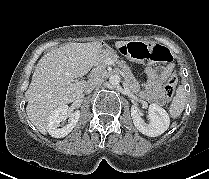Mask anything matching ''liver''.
<instances>
[{
  "label": "liver",
  "mask_w": 209,
  "mask_h": 179,
  "mask_svg": "<svg viewBox=\"0 0 209 179\" xmlns=\"http://www.w3.org/2000/svg\"><path fill=\"white\" fill-rule=\"evenodd\" d=\"M128 43L116 41L115 47ZM102 48L98 41L65 44L50 50L38 61L25 97L27 116L40 133H47V120L55 109L82 97L86 82L72 81L86 75L105 56Z\"/></svg>",
  "instance_id": "6515ba94"
}]
</instances>
